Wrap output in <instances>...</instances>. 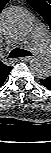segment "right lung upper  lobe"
<instances>
[{
    "label": "right lung upper lobe",
    "instance_id": "1",
    "mask_svg": "<svg viewBox=\"0 0 51 153\" xmlns=\"http://www.w3.org/2000/svg\"><path fill=\"white\" fill-rule=\"evenodd\" d=\"M9 0H0V12ZM11 70L10 66L4 65L0 60V86L4 83Z\"/></svg>",
    "mask_w": 51,
    "mask_h": 153
}]
</instances>
